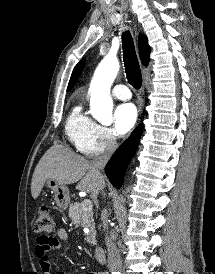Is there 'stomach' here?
<instances>
[{"label":"stomach","instance_id":"stomach-1","mask_svg":"<svg viewBox=\"0 0 215 274\" xmlns=\"http://www.w3.org/2000/svg\"><path fill=\"white\" fill-rule=\"evenodd\" d=\"M46 185L49 189L52 190V192H54L56 205L60 209H66L70 200L68 187L64 184L58 183L53 179H48L46 181Z\"/></svg>","mask_w":215,"mask_h":274}]
</instances>
